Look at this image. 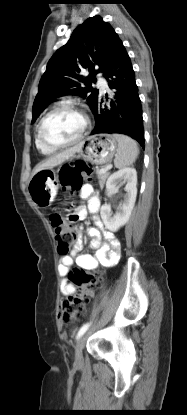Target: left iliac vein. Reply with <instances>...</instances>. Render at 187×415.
<instances>
[{
    "mask_svg": "<svg viewBox=\"0 0 187 415\" xmlns=\"http://www.w3.org/2000/svg\"><path fill=\"white\" fill-rule=\"evenodd\" d=\"M87 333L82 335L75 345V364L80 365L83 363V349L86 343Z\"/></svg>",
    "mask_w": 187,
    "mask_h": 415,
    "instance_id": "left-iliac-vein-1",
    "label": "left iliac vein"
}]
</instances>
